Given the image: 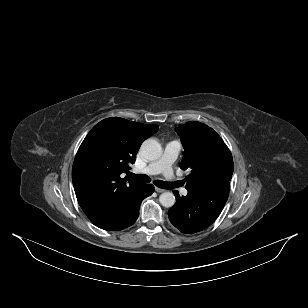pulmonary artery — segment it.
<instances>
[{
    "instance_id": "pulmonary-artery-1",
    "label": "pulmonary artery",
    "mask_w": 308,
    "mask_h": 308,
    "mask_svg": "<svg viewBox=\"0 0 308 308\" xmlns=\"http://www.w3.org/2000/svg\"><path fill=\"white\" fill-rule=\"evenodd\" d=\"M180 150L181 143L179 141L174 140L168 142L165 145L162 156L158 160L143 168L141 172L148 175L162 173L168 180L174 182L175 175L172 165L177 159ZM180 192L184 196L188 194V190L186 188H182Z\"/></svg>"
}]
</instances>
